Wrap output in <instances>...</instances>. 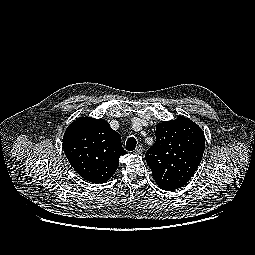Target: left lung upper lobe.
<instances>
[{
  "label": "left lung upper lobe",
  "mask_w": 255,
  "mask_h": 255,
  "mask_svg": "<svg viewBox=\"0 0 255 255\" xmlns=\"http://www.w3.org/2000/svg\"><path fill=\"white\" fill-rule=\"evenodd\" d=\"M156 142L145 159L162 190L183 187L194 175L202 159L205 137L193 121L179 116L156 126Z\"/></svg>",
  "instance_id": "obj_1"
}]
</instances>
